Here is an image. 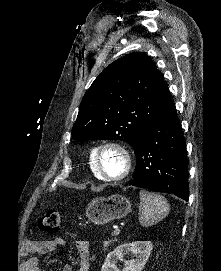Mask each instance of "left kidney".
<instances>
[{"label":"left kidney","mask_w":221,"mask_h":271,"mask_svg":"<svg viewBox=\"0 0 221 271\" xmlns=\"http://www.w3.org/2000/svg\"><path fill=\"white\" fill-rule=\"evenodd\" d=\"M152 241H131V243H121L113 251H109L101 271H119L116 263L124 261L122 271H141L143 269L151 251ZM125 255H131L134 259H124Z\"/></svg>","instance_id":"1"}]
</instances>
